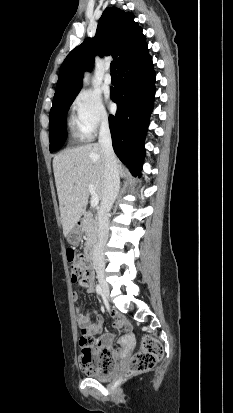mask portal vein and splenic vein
Listing matches in <instances>:
<instances>
[{
    "label": "portal vein and splenic vein",
    "mask_w": 233,
    "mask_h": 413,
    "mask_svg": "<svg viewBox=\"0 0 233 413\" xmlns=\"http://www.w3.org/2000/svg\"><path fill=\"white\" fill-rule=\"evenodd\" d=\"M88 191H89L90 194H91V201H90L91 206H92V207H96V206L99 204L100 198H99V196L96 194L95 188H94V186H93L92 184H89V185H88Z\"/></svg>",
    "instance_id": "1"
}]
</instances>
